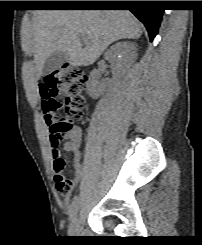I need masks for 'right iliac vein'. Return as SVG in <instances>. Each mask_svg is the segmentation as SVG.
<instances>
[{
  "mask_svg": "<svg viewBox=\"0 0 202 245\" xmlns=\"http://www.w3.org/2000/svg\"><path fill=\"white\" fill-rule=\"evenodd\" d=\"M69 232L72 236H80V219L78 216H74L71 224H70V229Z\"/></svg>",
  "mask_w": 202,
  "mask_h": 245,
  "instance_id": "obj_1",
  "label": "right iliac vein"
}]
</instances>
